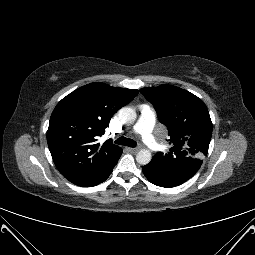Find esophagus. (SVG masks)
Masks as SVG:
<instances>
[{"mask_svg": "<svg viewBox=\"0 0 255 255\" xmlns=\"http://www.w3.org/2000/svg\"><path fill=\"white\" fill-rule=\"evenodd\" d=\"M128 150L132 153H136V152H138L139 149L138 148H128Z\"/></svg>", "mask_w": 255, "mask_h": 255, "instance_id": "obj_1", "label": "esophagus"}]
</instances>
